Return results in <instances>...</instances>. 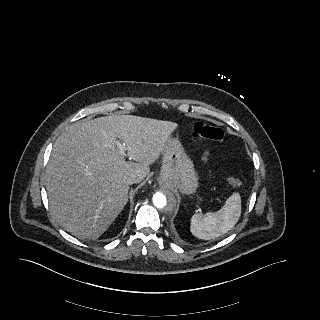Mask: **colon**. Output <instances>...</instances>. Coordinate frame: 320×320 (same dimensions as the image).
<instances>
[{"instance_id":"colon-1","label":"colon","mask_w":320,"mask_h":320,"mask_svg":"<svg viewBox=\"0 0 320 320\" xmlns=\"http://www.w3.org/2000/svg\"><path fill=\"white\" fill-rule=\"evenodd\" d=\"M195 133L202 138L208 139L213 142H220L224 137V132L221 128L207 124L205 122H197L193 126ZM228 183L231 186L239 187L241 180L235 177H229Z\"/></svg>"}]
</instances>
